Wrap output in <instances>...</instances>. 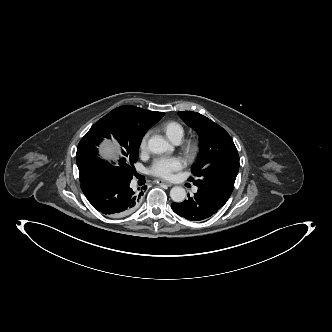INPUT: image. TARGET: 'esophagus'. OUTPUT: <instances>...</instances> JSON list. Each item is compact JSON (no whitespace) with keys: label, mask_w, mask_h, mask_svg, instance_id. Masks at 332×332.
I'll list each match as a JSON object with an SVG mask.
<instances>
[{"label":"esophagus","mask_w":332,"mask_h":332,"mask_svg":"<svg viewBox=\"0 0 332 332\" xmlns=\"http://www.w3.org/2000/svg\"><path fill=\"white\" fill-rule=\"evenodd\" d=\"M157 183H158V184H164V185H166V186H168V187L172 186V183H170V182H168V181H166V180H162V179H158V180H157Z\"/></svg>","instance_id":"obj_1"}]
</instances>
